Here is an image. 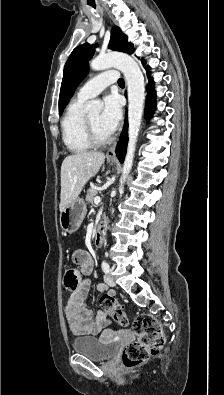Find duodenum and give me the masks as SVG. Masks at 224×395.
<instances>
[{
	"mask_svg": "<svg viewBox=\"0 0 224 395\" xmlns=\"http://www.w3.org/2000/svg\"><path fill=\"white\" fill-rule=\"evenodd\" d=\"M106 226H107L106 221L100 223L97 231L95 232L93 238V245L95 247H100L103 244Z\"/></svg>",
	"mask_w": 224,
	"mask_h": 395,
	"instance_id": "1",
	"label": "duodenum"
}]
</instances>
